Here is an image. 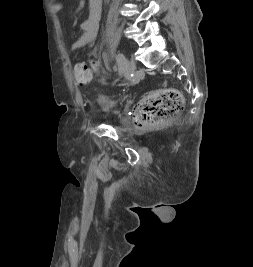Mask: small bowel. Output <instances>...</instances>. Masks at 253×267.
<instances>
[{"mask_svg": "<svg viewBox=\"0 0 253 267\" xmlns=\"http://www.w3.org/2000/svg\"><path fill=\"white\" fill-rule=\"evenodd\" d=\"M53 1V0H52ZM51 10L55 15H59L62 11L60 3H53ZM102 0H89V13L88 17L81 23V34L72 43L71 50L76 51L90 42H92L97 35L99 21L101 18Z\"/></svg>", "mask_w": 253, "mask_h": 267, "instance_id": "1", "label": "small bowel"}]
</instances>
